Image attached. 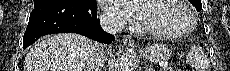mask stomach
<instances>
[{
    "label": "stomach",
    "mask_w": 230,
    "mask_h": 71,
    "mask_svg": "<svg viewBox=\"0 0 230 71\" xmlns=\"http://www.w3.org/2000/svg\"><path fill=\"white\" fill-rule=\"evenodd\" d=\"M171 56L168 47L162 44H153L144 50V57L150 62L161 63L167 61Z\"/></svg>",
    "instance_id": "stomach-1"
}]
</instances>
